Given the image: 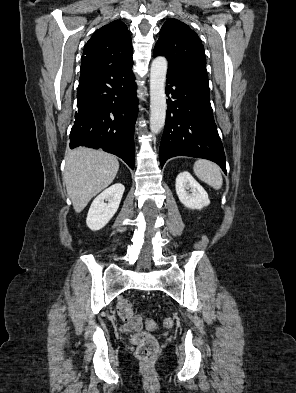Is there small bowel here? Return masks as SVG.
<instances>
[{
	"mask_svg": "<svg viewBox=\"0 0 296 393\" xmlns=\"http://www.w3.org/2000/svg\"><path fill=\"white\" fill-rule=\"evenodd\" d=\"M121 329L125 332L137 331L141 329V321L139 317L133 315L130 319L125 320L121 326Z\"/></svg>",
	"mask_w": 296,
	"mask_h": 393,
	"instance_id": "c3829d8e",
	"label": "small bowel"
}]
</instances>
